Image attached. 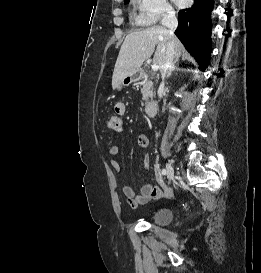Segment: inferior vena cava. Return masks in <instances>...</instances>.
I'll return each instance as SVG.
<instances>
[{
	"label": "inferior vena cava",
	"instance_id": "1",
	"mask_svg": "<svg viewBox=\"0 0 261 273\" xmlns=\"http://www.w3.org/2000/svg\"><path fill=\"white\" fill-rule=\"evenodd\" d=\"M162 25L168 29L170 40L167 44L165 61L161 67L162 82L158 89V97L162 98L164 93V80L167 77L169 70L173 69L175 63V51H174V31L178 26V20L175 12L172 9H166L162 18Z\"/></svg>",
	"mask_w": 261,
	"mask_h": 273
}]
</instances>
